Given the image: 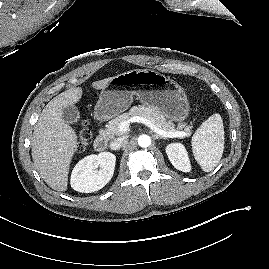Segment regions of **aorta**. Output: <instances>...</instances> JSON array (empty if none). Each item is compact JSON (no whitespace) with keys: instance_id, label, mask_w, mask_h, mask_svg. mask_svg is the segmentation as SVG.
<instances>
[{"instance_id":"1","label":"aorta","mask_w":269,"mask_h":269,"mask_svg":"<svg viewBox=\"0 0 269 269\" xmlns=\"http://www.w3.org/2000/svg\"><path fill=\"white\" fill-rule=\"evenodd\" d=\"M138 145L142 148H147L151 145V138L148 135H140L138 137Z\"/></svg>"}]
</instances>
